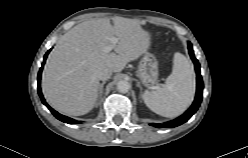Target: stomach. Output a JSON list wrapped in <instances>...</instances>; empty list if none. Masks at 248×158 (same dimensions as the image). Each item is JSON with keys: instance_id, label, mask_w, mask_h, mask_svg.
<instances>
[{"instance_id": "obj_1", "label": "stomach", "mask_w": 248, "mask_h": 158, "mask_svg": "<svg viewBox=\"0 0 248 158\" xmlns=\"http://www.w3.org/2000/svg\"><path fill=\"white\" fill-rule=\"evenodd\" d=\"M137 76L142 84L148 88L157 83L159 76L158 61L153 54L148 52L144 54L138 66Z\"/></svg>"}]
</instances>
